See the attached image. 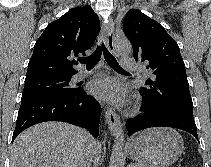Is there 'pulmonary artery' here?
Returning a JSON list of instances; mask_svg holds the SVG:
<instances>
[{"label":"pulmonary artery","mask_w":211,"mask_h":167,"mask_svg":"<svg viewBox=\"0 0 211 167\" xmlns=\"http://www.w3.org/2000/svg\"><path fill=\"white\" fill-rule=\"evenodd\" d=\"M121 66H122L124 69L132 70V69H134V67H135V61H134L132 58H130V57L124 56V57L121 58ZM88 74H90V72L81 70V71H79V72L75 75V79H76V80H81V79H83L84 77H86Z\"/></svg>","instance_id":"e3ab8cb5"}]
</instances>
